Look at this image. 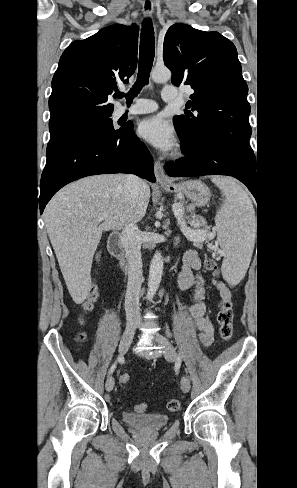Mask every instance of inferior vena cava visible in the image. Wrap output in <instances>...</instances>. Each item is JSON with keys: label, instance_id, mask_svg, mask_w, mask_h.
<instances>
[{"label": "inferior vena cava", "instance_id": "inferior-vena-cava-1", "mask_svg": "<svg viewBox=\"0 0 297 488\" xmlns=\"http://www.w3.org/2000/svg\"><path fill=\"white\" fill-rule=\"evenodd\" d=\"M144 182L134 175H127L125 192L130 201L137 196ZM121 242L125 248L128 263V283L125 295L126 317H140V290L143 282L141 244L142 232L135 222L130 219L124 225Z\"/></svg>", "mask_w": 297, "mask_h": 488}]
</instances>
